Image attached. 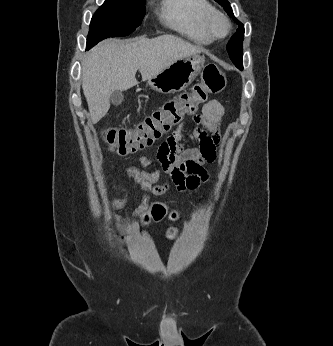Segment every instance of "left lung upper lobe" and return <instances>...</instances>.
<instances>
[{"label":"left lung upper lobe","instance_id":"obj_1","mask_svg":"<svg viewBox=\"0 0 333 346\" xmlns=\"http://www.w3.org/2000/svg\"><path fill=\"white\" fill-rule=\"evenodd\" d=\"M224 7L227 14L233 17L234 21L239 25L236 33L232 36L227 44V51L232 62L240 69H242V56H243V39H244V25L239 22L233 15L230 3L227 0H215Z\"/></svg>","mask_w":333,"mask_h":346}]
</instances>
